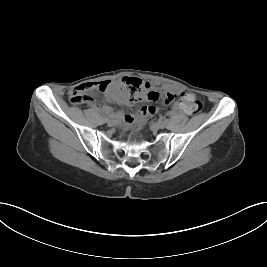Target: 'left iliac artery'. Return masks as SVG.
<instances>
[{"label": "left iliac artery", "instance_id": "1", "mask_svg": "<svg viewBox=\"0 0 267 267\" xmlns=\"http://www.w3.org/2000/svg\"><path fill=\"white\" fill-rule=\"evenodd\" d=\"M162 120L164 121V123H168L169 121L167 118H163Z\"/></svg>", "mask_w": 267, "mask_h": 267}]
</instances>
